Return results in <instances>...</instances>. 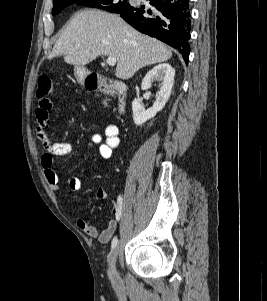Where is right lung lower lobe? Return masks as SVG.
<instances>
[{"mask_svg":"<svg viewBox=\"0 0 267 301\" xmlns=\"http://www.w3.org/2000/svg\"><path fill=\"white\" fill-rule=\"evenodd\" d=\"M149 4V7L131 6L119 14L141 33L178 49L188 64L191 30L189 0H150Z\"/></svg>","mask_w":267,"mask_h":301,"instance_id":"98d812e1","label":"right lung lower lobe"}]
</instances>
